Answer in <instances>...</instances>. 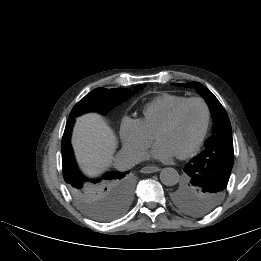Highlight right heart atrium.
Listing matches in <instances>:
<instances>
[{"mask_svg":"<svg viewBox=\"0 0 261 261\" xmlns=\"http://www.w3.org/2000/svg\"><path fill=\"white\" fill-rule=\"evenodd\" d=\"M123 146L128 150L143 154L152 144L154 136L142 125L139 119L124 118L120 126Z\"/></svg>","mask_w":261,"mask_h":261,"instance_id":"1","label":"right heart atrium"}]
</instances>
